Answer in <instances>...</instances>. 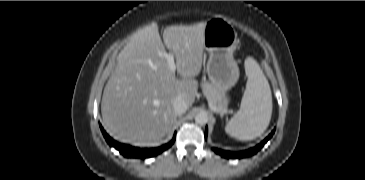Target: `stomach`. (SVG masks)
Here are the masks:
<instances>
[{"instance_id":"stomach-1","label":"stomach","mask_w":365,"mask_h":180,"mask_svg":"<svg viewBox=\"0 0 365 180\" xmlns=\"http://www.w3.org/2000/svg\"><path fill=\"white\" fill-rule=\"evenodd\" d=\"M237 42V32L226 19L216 17L206 22L204 49L209 54L206 72L211 84L220 91L224 105L229 102L226 93L239 78V67L233 57Z\"/></svg>"}]
</instances>
